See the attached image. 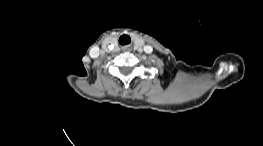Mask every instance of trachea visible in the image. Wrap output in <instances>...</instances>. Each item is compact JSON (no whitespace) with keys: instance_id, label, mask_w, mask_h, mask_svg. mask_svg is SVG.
Instances as JSON below:
<instances>
[{"instance_id":"3493384b","label":"trachea","mask_w":263,"mask_h":146,"mask_svg":"<svg viewBox=\"0 0 263 146\" xmlns=\"http://www.w3.org/2000/svg\"><path fill=\"white\" fill-rule=\"evenodd\" d=\"M130 38L127 35H122L119 39L120 44L126 43V41H129Z\"/></svg>"}]
</instances>
